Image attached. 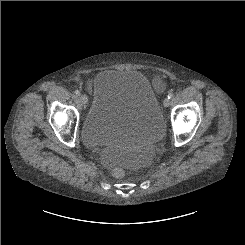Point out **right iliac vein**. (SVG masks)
Returning a JSON list of instances; mask_svg holds the SVG:
<instances>
[{
  "label": "right iliac vein",
  "instance_id": "1",
  "mask_svg": "<svg viewBox=\"0 0 245 245\" xmlns=\"http://www.w3.org/2000/svg\"><path fill=\"white\" fill-rule=\"evenodd\" d=\"M80 100H81V102H82L83 104H87V103H88V98H87V96H86L85 94H82V95L80 96Z\"/></svg>",
  "mask_w": 245,
  "mask_h": 245
}]
</instances>
